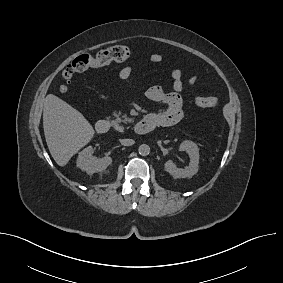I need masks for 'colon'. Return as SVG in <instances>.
I'll return each mask as SVG.
<instances>
[{
  "instance_id": "5ec220e1",
  "label": "colon",
  "mask_w": 283,
  "mask_h": 283,
  "mask_svg": "<svg viewBox=\"0 0 283 283\" xmlns=\"http://www.w3.org/2000/svg\"><path fill=\"white\" fill-rule=\"evenodd\" d=\"M130 52V48L127 45H114L99 51L95 55L81 54L67 65L63 71V77L68 82L77 73L91 68L102 67L112 62L124 61L130 56ZM63 89H65V86H63ZM194 102L197 106L204 108H214L219 104L217 98L203 96L195 97Z\"/></svg>"
}]
</instances>
